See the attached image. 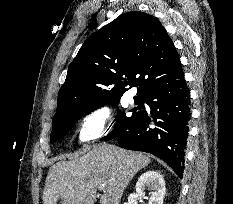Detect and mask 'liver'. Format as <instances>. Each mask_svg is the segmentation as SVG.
I'll return each mask as SVG.
<instances>
[{"label":"liver","mask_w":233,"mask_h":204,"mask_svg":"<svg viewBox=\"0 0 233 204\" xmlns=\"http://www.w3.org/2000/svg\"><path fill=\"white\" fill-rule=\"evenodd\" d=\"M86 153L61 160L48 171L43 204H94L97 188L103 186L100 204H119L132 178L151 159L143 153L108 143L85 145Z\"/></svg>","instance_id":"obj_1"}]
</instances>
